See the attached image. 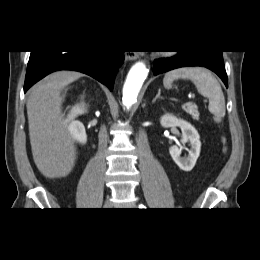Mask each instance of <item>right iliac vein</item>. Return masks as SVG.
I'll use <instances>...</instances> for the list:
<instances>
[{
  "label": "right iliac vein",
  "instance_id": "obj_1",
  "mask_svg": "<svg viewBox=\"0 0 260 260\" xmlns=\"http://www.w3.org/2000/svg\"><path fill=\"white\" fill-rule=\"evenodd\" d=\"M112 206V203L110 200H107L104 204V208H110Z\"/></svg>",
  "mask_w": 260,
  "mask_h": 260
}]
</instances>
